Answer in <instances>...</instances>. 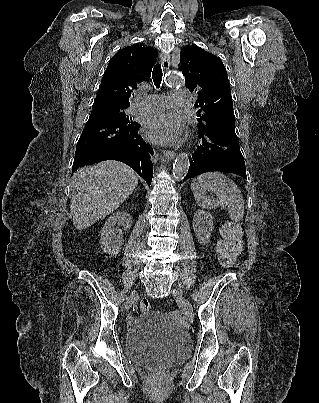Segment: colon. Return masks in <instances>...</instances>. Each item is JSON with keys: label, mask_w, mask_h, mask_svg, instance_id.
<instances>
[{"label": "colon", "mask_w": 319, "mask_h": 403, "mask_svg": "<svg viewBox=\"0 0 319 403\" xmlns=\"http://www.w3.org/2000/svg\"><path fill=\"white\" fill-rule=\"evenodd\" d=\"M222 239L217 244V253L220 263L223 266H230L240 255L242 250V232L235 223H226L222 228ZM140 311L147 313L150 311V303L142 299L139 303Z\"/></svg>", "instance_id": "1"}]
</instances>
